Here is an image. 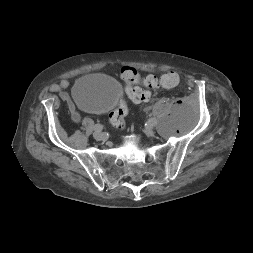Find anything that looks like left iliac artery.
<instances>
[{
	"mask_svg": "<svg viewBox=\"0 0 253 253\" xmlns=\"http://www.w3.org/2000/svg\"><path fill=\"white\" fill-rule=\"evenodd\" d=\"M157 124V121L155 119H149V121L146 123L147 126L152 125L155 126Z\"/></svg>",
	"mask_w": 253,
	"mask_h": 253,
	"instance_id": "obj_1",
	"label": "left iliac artery"
}]
</instances>
